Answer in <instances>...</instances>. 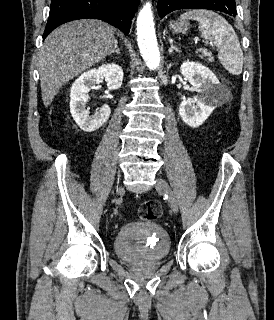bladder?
<instances>
[{
  "label": "bladder",
  "instance_id": "bladder-1",
  "mask_svg": "<svg viewBox=\"0 0 274 320\" xmlns=\"http://www.w3.org/2000/svg\"><path fill=\"white\" fill-rule=\"evenodd\" d=\"M170 248L167 232L149 221L124 224L113 240L116 256L133 264L160 262L168 256Z\"/></svg>",
  "mask_w": 274,
  "mask_h": 320
}]
</instances>
